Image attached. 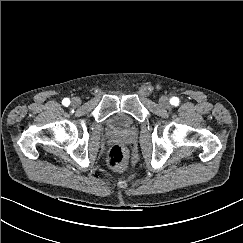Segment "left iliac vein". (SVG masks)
Instances as JSON below:
<instances>
[{"instance_id": "1", "label": "left iliac vein", "mask_w": 243, "mask_h": 243, "mask_svg": "<svg viewBox=\"0 0 243 243\" xmlns=\"http://www.w3.org/2000/svg\"><path fill=\"white\" fill-rule=\"evenodd\" d=\"M159 104L163 108H168L169 107V99L166 96H162L159 99Z\"/></svg>"}]
</instances>
